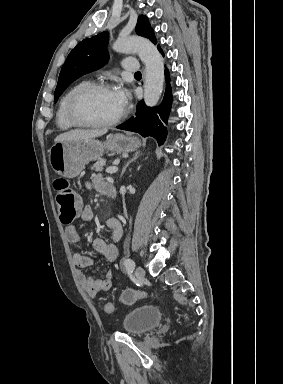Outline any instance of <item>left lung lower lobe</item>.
<instances>
[{"label":"left lung lower lobe","mask_w":283,"mask_h":384,"mask_svg":"<svg viewBox=\"0 0 283 384\" xmlns=\"http://www.w3.org/2000/svg\"><path fill=\"white\" fill-rule=\"evenodd\" d=\"M158 50L164 55L160 46H158ZM165 77L166 91L161 105L158 107H147L144 101H140L137 105L136 116L117 126L118 129L137 132L143 137L152 136L156 138L159 145L165 141L168 133L165 124H167L172 104L171 86L167 69L165 70Z\"/></svg>","instance_id":"obj_1"}]
</instances>
